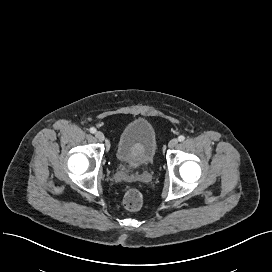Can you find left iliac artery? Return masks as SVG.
I'll return each mask as SVG.
<instances>
[{"label": "left iliac artery", "instance_id": "1", "mask_svg": "<svg viewBox=\"0 0 272 272\" xmlns=\"http://www.w3.org/2000/svg\"><path fill=\"white\" fill-rule=\"evenodd\" d=\"M178 140H179L180 142L184 141V140H185V136L180 135V136L178 137Z\"/></svg>", "mask_w": 272, "mask_h": 272}]
</instances>
